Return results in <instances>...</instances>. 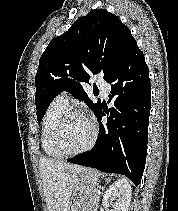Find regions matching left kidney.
Masks as SVG:
<instances>
[{
  "label": "left kidney",
  "mask_w": 178,
  "mask_h": 211,
  "mask_svg": "<svg viewBox=\"0 0 178 211\" xmlns=\"http://www.w3.org/2000/svg\"><path fill=\"white\" fill-rule=\"evenodd\" d=\"M132 189L127 179L115 181L105 192L102 205L109 211H128Z\"/></svg>",
  "instance_id": "obj_1"
}]
</instances>
